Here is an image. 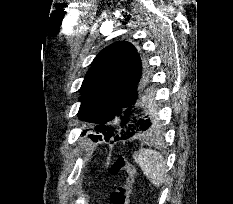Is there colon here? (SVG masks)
I'll list each match as a JSON object with an SVG mask.
<instances>
[{
	"mask_svg": "<svg viewBox=\"0 0 233 204\" xmlns=\"http://www.w3.org/2000/svg\"><path fill=\"white\" fill-rule=\"evenodd\" d=\"M110 176H119L124 174L125 181L118 185L111 193L110 200L112 204H129V197L136 177L134 165L125 158H117L108 169Z\"/></svg>",
	"mask_w": 233,
	"mask_h": 204,
	"instance_id": "obj_1",
	"label": "colon"
}]
</instances>
